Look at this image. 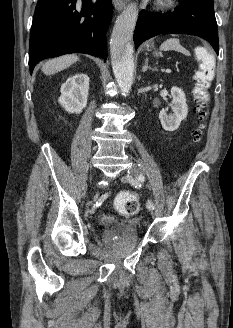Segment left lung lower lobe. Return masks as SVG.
Wrapping results in <instances>:
<instances>
[{
  "label": "left lung lower lobe",
  "mask_w": 233,
  "mask_h": 328,
  "mask_svg": "<svg viewBox=\"0 0 233 328\" xmlns=\"http://www.w3.org/2000/svg\"><path fill=\"white\" fill-rule=\"evenodd\" d=\"M179 1L181 5L172 13L141 12L134 32L135 48L158 34L176 33L207 39L218 54L219 42L213 4L205 0Z\"/></svg>",
  "instance_id": "0a47b994"
}]
</instances>
